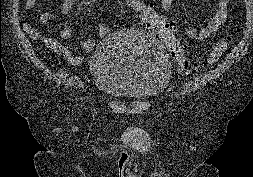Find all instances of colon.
<instances>
[{
  "instance_id": "obj_1",
  "label": "colon",
  "mask_w": 253,
  "mask_h": 177,
  "mask_svg": "<svg viewBox=\"0 0 253 177\" xmlns=\"http://www.w3.org/2000/svg\"><path fill=\"white\" fill-rule=\"evenodd\" d=\"M117 11L132 9L141 19L146 28L156 35L168 48L178 70L183 72H197L205 65L215 63L228 49L230 38H220L207 54L204 63L191 62L186 54V46H184L179 38L175 24L158 15L151 3L144 0H116Z\"/></svg>"
}]
</instances>
